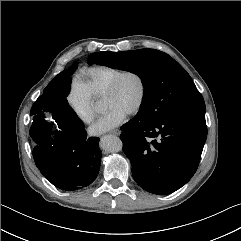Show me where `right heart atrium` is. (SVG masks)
Segmentation results:
<instances>
[{
	"label": "right heart atrium",
	"instance_id": "d8ad5b80",
	"mask_svg": "<svg viewBox=\"0 0 241 241\" xmlns=\"http://www.w3.org/2000/svg\"><path fill=\"white\" fill-rule=\"evenodd\" d=\"M66 100L71 111L81 122L91 124L95 120L93 97L82 81L72 82Z\"/></svg>",
	"mask_w": 241,
	"mask_h": 241
}]
</instances>
